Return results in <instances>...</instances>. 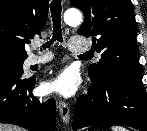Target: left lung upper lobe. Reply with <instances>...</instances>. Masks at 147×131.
I'll use <instances>...</instances> for the list:
<instances>
[{
    "mask_svg": "<svg viewBox=\"0 0 147 131\" xmlns=\"http://www.w3.org/2000/svg\"><path fill=\"white\" fill-rule=\"evenodd\" d=\"M71 4L85 14L78 34L92 37L93 46L101 54L100 61L89 66L91 80L118 77L143 84L131 1L71 0Z\"/></svg>",
    "mask_w": 147,
    "mask_h": 131,
    "instance_id": "left-lung-upper-lobe-1",
    "label": "left lung upper lobe"
}]
</instances>
